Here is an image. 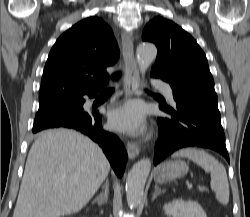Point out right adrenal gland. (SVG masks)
I'll list each match as a JSON object with an SVG mask.
<instances>
[{"instance_id": "2a0ac1e0", "label": "right adrenal gland", "mask_w": 250, "mask_h": 217, "mask_svg": "<svg viewBox=\"0 0 250 217\" xmlns=\"http://www.w3.org/2000/svg\"><path fill=\"white\" fill-rule=\"evenodd\" d=\"M108 196H109V182L107 179L103 186V192L95 200H93V203L96 202L98 206H102L108 201Z\"/></svg>"}]
</instances>
